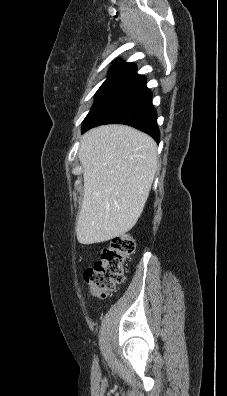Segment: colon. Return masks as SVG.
I'll return each instance as SVG.
<instances>
[{
  "label": "colon",
  "mask_w": 227,
  "mask_h": 396,
  "mask_svg": "<svg viewBox=\"0 0 227 396\" xmlns=\"http://www.w3.org/2000/svg\"><path fill=\"white\" fill-rule=\"evenodd\" d=\"M135 250V240L129 234L112 239L100 253L98 261L84 273L91 293L98 298L111 294L124 280V264Z\"/></svg>",
  "instance_id": "obj_1"
}]
</instances>
